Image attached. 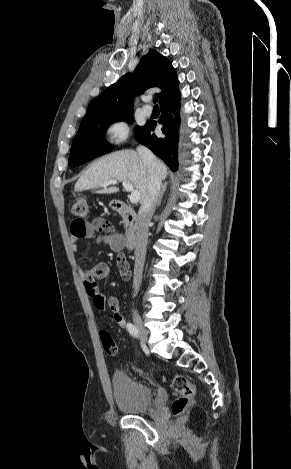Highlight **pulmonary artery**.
I'll use <instances>...</instances> for the list:
<instances>
[{
    "instance_id": "obj_1",
    "label": "pulmonary artery",
    "mask_w": 291,
    "mask_h": 469,
    "mask_svg": "<svg viewBox=\"0 0 291 469\" xmlns=\"http://www.w3.org/2000/svg\"><path fill=\"white\" fill-rule=\"evenodd\" d=\"M142 111L145 115H151L152 114V108L149 105L143 106Z\"/></svg>"
}]
</instances>
